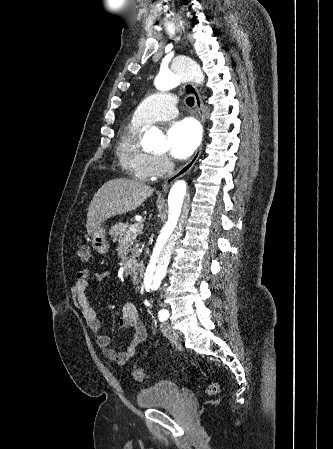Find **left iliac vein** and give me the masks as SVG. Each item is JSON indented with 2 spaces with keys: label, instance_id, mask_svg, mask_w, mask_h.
Masks as SVG:
<instances>
[{
  "label": "left iliac vein",
  "instance_id": "1",
  "mask_svg": "<svg viewBox=\"0 0 333 449\" xmlns=\"http://www.w3.org/2000/svg\"><path fill=\"white\" fill-rule=\"evenodd\" d=\"M162 334L171 341H177L178 335L173 327L169 323H163L161 325Z\"/></svg>",
  "mask_w": 333,
  "mask_h": 449
}]
</instances>
